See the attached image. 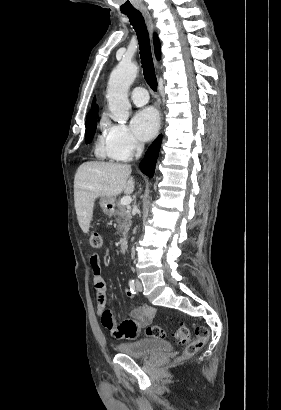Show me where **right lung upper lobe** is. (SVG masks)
<instances>
[{"mask_svg": "<svg viewBox=\"0 0 281 410\" xmlns=\"http://www.w3.org/2000/svg\"><path fill=\"white\" fill-rule=\"evenodd\" d=\"M153 41H154L155 54H156V57L159 59L161 56V46H160V41L156 33H154ZM97 114H98V105L95 104V98H94L93 103H92V109L87 114L86 119L91 118L93 116H97Z\"/></svg>", "mask_w": 281, "mask_h": 410, "instance_id": "1", "label": "right lung upper lobe"}]
</instances>
